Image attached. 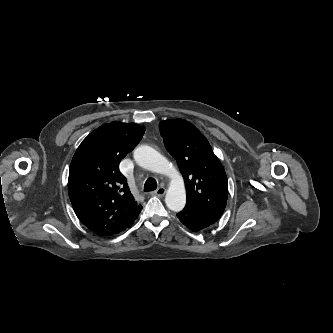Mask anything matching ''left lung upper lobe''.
Wrapping results in <instances>:
<instances>
[{
	"label": "left lung upper lobe",
	"instance_id": "obj_1",
	"mask_svg": "<svg viewBox=\"0 0 333 333\" xmlns=\"http://www.w3.org/2000/svg\"><path fill=\"white\" fill-rule=\"evenodd\" d=\"M159 126L165 147L183 175L186 206L222 215L228 196L227 176L205 136L183 119L165 120Z\"/></svg>",
	"mask_w": 333,
	"mask_h": 333
}]
</instances>
